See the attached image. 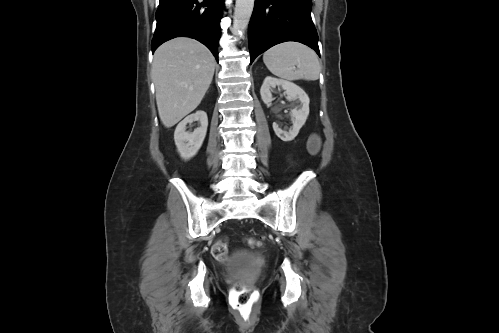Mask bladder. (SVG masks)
<instances>
[{"label": "bladder", "instance_id": "31cf9c89", "mask_svg": "<svg viewBox=\"0 0 499 333\" xmlns=\"http://www.w3.org/2000/svg\"><path fill=\"white\" fill-rule=\"evenodd\" d=\"M252 259L247 254H238L232 260L231 266L237 270L246 271L250 267Z\"/></svg>", "mask_w": 499, "mask_h": 333}]
</instances>
